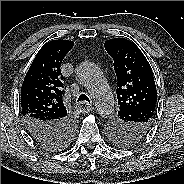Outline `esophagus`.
<instances>
[{"label":"esophagus","instance_id":"obj_1","mask_svg":"<svg viewBox=\"0 0 184 184\" xmlns=\"http://www.w3.org/2000/svg\"><path fill=\"white\" fill-rule=\"evenodd\" d=\"M76 108L80 112H83V113H88V112L94 110L93 106L88 104V103H86V102H79V103H77Z\"/></svg>","mask_w":184,"mask_h":184}]
</instances>
